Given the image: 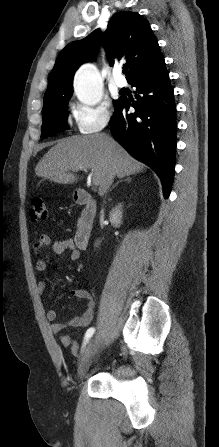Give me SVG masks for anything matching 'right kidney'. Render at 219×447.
I'll use <instances>...</instances> for the list:
<instances>
[{"label":"right kidney","instance_id":"right-kidney-1","mask_svg":"<svg viewBox=\"0 0 219 447\" xmlns=\"http://www.w3.org/2000/svg\"><path fill=\"white\" fill-rule=\"evenodd\" d=\"M110 222L113 226L119 227L121 224L122 212H121V204L112 209L109 214ZM99 244V243H97Z\"/></svg>","mask_w":219,"mask_h":447}]
</instances>
